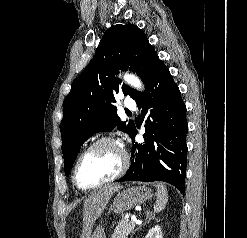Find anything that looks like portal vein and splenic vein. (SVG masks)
Here are the masks:
<instances>
[{
  "mask_svg": "<svg viewBox=\"0 0 247 238\" xmlns=\"http://www.w3.org/2000/svg\"><path fill=\"white\" fill-rule=\"evenodd\" d=\"M131 222H132L133 224L138 223V222H136V220H132Z\"/></svg>",
  "mask_w": 247,
  "mask_h": 238,
  "instance_id": "portal-vein-and-splenic-vein-1",
  "label": "portal vein and splenic vein"
}]
</instances>
